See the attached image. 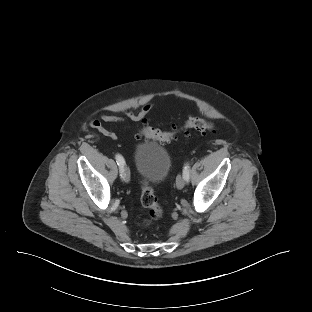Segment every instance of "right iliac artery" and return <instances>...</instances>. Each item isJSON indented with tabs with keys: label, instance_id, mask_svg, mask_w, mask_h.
I'll use <instances>...</instances> for the list:
<instances>
[{
	"label": "right iliac artery",
	"instance_id": "82829eb1",
	"mask_svg": "<svg viewBox=\"0 0 312 312\" xmlns=\"http://www.w3.org/2000/svg\"><path fill=\"white\" fill-rule=\"evenodd\" d=\"M115 159H116L117 164L120 167V172L122 173L123 167L125 165V161H124L123 157L120 154H117Z\"/></svg>",
	"mask_w": 312,
	"mask_h": 312
}]
</instances>
